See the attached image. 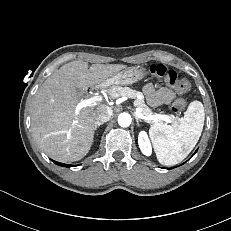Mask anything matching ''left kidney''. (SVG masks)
<instances>
[{"instance_id": "obj_1", "label": "left kidney", "mask_w": 231, "mask_h": 231, "mask_svg": "<svg viewBox=\"0 0 231 231\" xmlns=\"http://www.w3.org/2000/svg\"><path fill=\"white\" fill-rule=\"evenodd\" d=\"M138 144L140 147L141 152L146 155L150 156L152 154V147L148 135L145 131H141L138 136Z\"/></svg>"}]
</instances>
